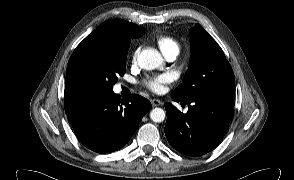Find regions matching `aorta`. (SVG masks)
<instances>
[{
  "mask_svg": "<svg viewBox=\"0 0 294 180\" xmlns=\"http://www.w3.org/2000/svg\"><path fill=\"white\" fill-rule=\"evenodd\" d=\"M138 64L142 69L153 70L163 65V58L158 51L147 48L140 53ZM165 115V111L162 108H154L150 112L151 120L156 123L163 122Z\"/></svg>",
  "mask_w": 294,
  "mask_h": 180,
  "instance_id": "obj_1",
  "label": "aorta"
}]
</instances>
